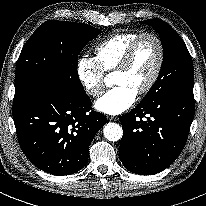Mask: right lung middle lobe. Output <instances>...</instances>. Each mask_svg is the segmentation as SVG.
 Instances as JSON below:
<instances>
[{"instance_id":"obj_1","label":"right lung middle lobe","mask_w":206,"mask_h":206,"mask_svg":"<svg viewBox=\"0 0 206 206\" xmlns=\"http://www.w3.org/2000/svg\"><path fill=\"white\" fill-rule=\"evenodd\" d=\"M100 30L87 24L49 20L25 43L16 64L13 105L45 89L85 94L77 72L78 55Z\"/></svg>"}]
</instances>
